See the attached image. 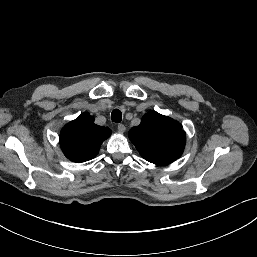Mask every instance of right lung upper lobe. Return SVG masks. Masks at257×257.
Masks as SVG:
<instances>
[{
  "label": "right lung upper lobe",
  "instance_id": "1",
  "mask_svg": "<svg viewBox=\"0 0 257 257\" xmlns=\"http://www.w3.org/2000/svg\"><path fill=\"white\" fill-rule=\"evenodd\" d=\"M110 135L108 127L94 124L93 116L82 113L62 128L60 145L68 159L81 163L94 158L102 142Z\"/></svg>",
  "mask_w": 257,
  "mask_h": 257
}]
</instances>
